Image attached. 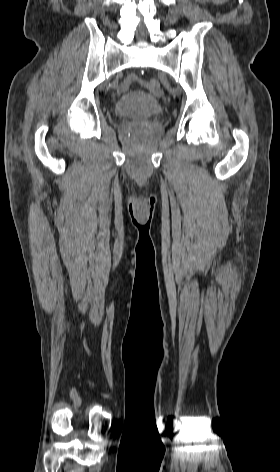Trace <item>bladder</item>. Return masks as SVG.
Listing matches in <instances>:
<instances>
[{
	"label": "bladder",
	"instance_id": "31cf9c89",
	"mask_svg": "<svg viewBox=\"0 0 280 472\" xmlns=\"http://www.w3.org/2000/svg\"><path fill=\"white\" fill-rule=\"evenodd\" d=\"M118 117L129 119H149L163 114L160 102L145 92H131L122 96L114 106Z\"/></svg>",
	"mask_w": 280,
	"mask_h": 472
}]
</instances>
